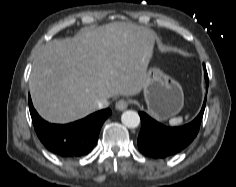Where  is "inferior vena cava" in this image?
<instances>
[{"label": "inferior vena cava", "mask_w": 236, "mask_h": 187, "mask_svg": "<svg viewBox=\"0 0 236 187\" xmlns=\"http://www.w3.org/2000/svg\"><path fill=\"white\" fill-rule=\"evenodd\" d=\"M109 106L107 98H101L96 102V109H103Z\"/></svg>", "instance_id": "1"}]
</instances>
